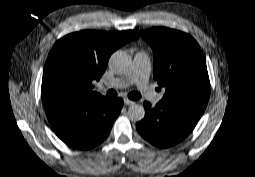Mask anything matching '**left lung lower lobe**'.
<instances>
[{"mask_svg":"<svg viewBox=\"0 0 255 177\" xmlns=\"http://www.w3.org/2000/svg\"><path fill=\"white\" fill-rule=\"evenodd\" d=\"M145 118L136 124L141 136L158 147L167 148L183 140L194 128L204 109L161 100L155 108L145 102Z\"/></svg>","mask_w":255,"mask_h":177,"instance_id":"1","label":"left lung lower lobe"}]
</instances>
